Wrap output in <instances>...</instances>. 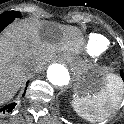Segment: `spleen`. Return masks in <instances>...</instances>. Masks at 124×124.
I'll return each instance as SVG.
<instances>
[{"mask_svg":"<svg viewBox=\"0 0 124 124\" xmlns=\"http://www.w3.org/2000/svg\"><path fill=\"white\" fill-rule=\"evenodd\" d=\"M120 92L119 83L113 77V82L109 83L96 98H75L72 106L81 117L90 122L103 121L108 117L109 110L117 106Z\"/></svg>","mask_w":124,"mask_h":124,"instance_id":"obj_1","label":"spleen"}]
</instances>
